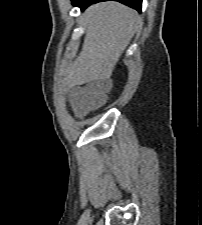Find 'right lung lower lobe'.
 <instances>
[{"label":"right lung lower lobe","mask_w":202,"mask_h":225,"mask_svg":"<svg viewBox=\"0 0 202 225\" xmlns=\"http://www.w3.org/2000/svg\"><path fill=\"white\" fill-rule=\"evenodd\" d=\"M101 1H109V0H72V4L74 6L80 7L81 9H84L92 3H97ZM113 1H118L138 11H141L142 0H113Z\"/></svg>","instance_id":"obj_1"}]
</instances>
